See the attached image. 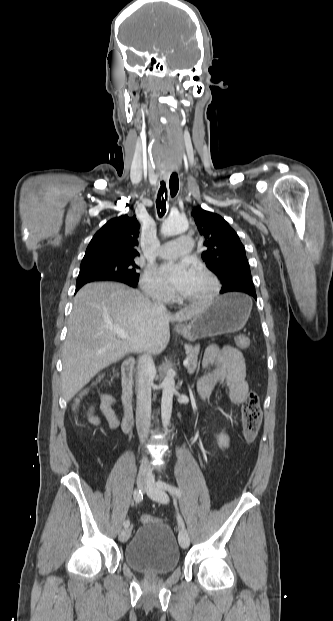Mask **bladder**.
<instances>
[{"instance_id": "31cf9c89", "label": "bladder", "mask_w": 333, "mask_h": 621, "mask_svg": "<svg viewBox=\"0 0 333 621\" xmlns=\"http://www.w3.org/2000/svg\"><path fill=\"white\" fill-rule=\"evenodd\" d=\"M132 569L149 575L167 574L180 561V550L172 529L165 523L148 522L140 526L123 552Z\"/></svg>"}]
</instances>
